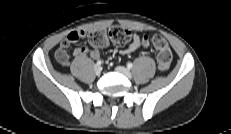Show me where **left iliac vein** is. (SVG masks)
<instances>
[{"label": "left iliac vein", "instance_id": "left-iliac-vein-1", "mask_svg": "<svg viewBox=\"0 0 231 134\" xmlns=\"http://www.w3.org/2000/svg\"><path fill=\"white\" fill-rule=\"evenodd\" d=\"M116 71H117L118 73H120V74L126 76V77L129 78V79L132 78L131 72H130L127 68H125V67H123V66H118V67H116Z\"/></svg>", "mask_w": 231, "mask_h": 134}]
</instances>
